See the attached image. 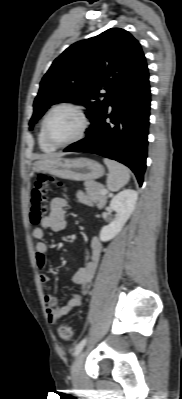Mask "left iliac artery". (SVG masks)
Masks as SVG:
<instances>
[{
	"mask_svg": "<svg viewBox=\"0 0 182 399\" xmlns=\"http://www.w3.org/2000/svg\"><path fill=\"white\" fill-rule=\"evenodd\" d=\"M87 338L82 339L75 348L74 355H78L85 346Z\"/></svg>",
	"mask_w": 182,
	"mask_h": 399,
	"instance_id": "obj_1",
	"label": "left iliac artery"
}]
</instances>
